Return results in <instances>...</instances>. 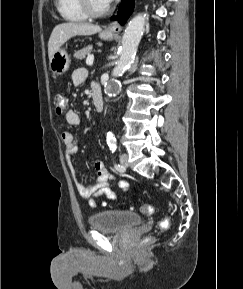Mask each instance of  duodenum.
I'll list each match as a JSON object with an SVG mask.
<instances>
[{"label":"duodenum","mask_w":243,"mask_h":289,"mask_svg":"<svg viewBox=\"0 0 243 289\" xmlns=\"http://www.w3.org/2000/svg\"><path fill=\"white\" fill-rule=\"evenodd\" d=\"M92 99H93V104H94L95 110L98 112L102 111L103 98H102L101 91L98 87L93 88Z\"/></svg>","instance_id":"1"}]
</instances>
